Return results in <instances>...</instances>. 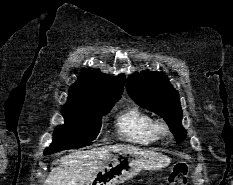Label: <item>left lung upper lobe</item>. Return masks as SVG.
I'll return each instance as SVG.
<instances>
[{
	"instance_id": "5c2ea615",
	"label": "left lung upper lobe",
	"mask_w": 233,
	"mask_h": 185,
	"mask_svg": "<svg viewBox=\"0 0 233 185\" xmlns=\"http://www.w3.org/2000/svg\"><path fill=\"white\" fill-rule=\"evenodd\" d=\"M126 88L139 106L164 118L177 143L185 139L186 131L182 127L183 112L179 94L164 73H135L128 78Z\"/></svg>"
}]
</instances>
